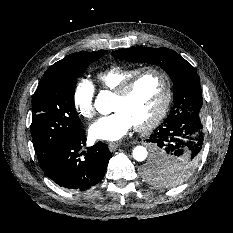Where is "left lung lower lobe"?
I'll return each mask as SVG.
<instances>
[{
    "mask_svg": "<svg viewBox=\"0 0 233 233\" xmlns=\"http://www.w3.org/2000/svg\"><path fill=\"white\" fill-rule=\"evenodd\" d=\"M147 141L154 148V154L148 167L159 166L169 159L185 156L200 158L204 142L203 126L200 119L191 115L177 116L164 121L159 128L154 130Z\"/></svg>",
    "mask_w": 233,
    "mask_h": 233,
    "instance_id": "left-lung-lower-lobe-1",
    "label": "left lung lower lobe"
}]
</instances>
